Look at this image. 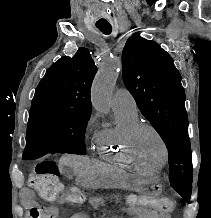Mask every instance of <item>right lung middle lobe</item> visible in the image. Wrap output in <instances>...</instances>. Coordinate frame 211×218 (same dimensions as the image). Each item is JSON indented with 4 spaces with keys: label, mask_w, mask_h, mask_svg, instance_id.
I'll return each mask as SVG.
<instances>
[{
    "label": "right lung middle lobe",
    "mask_w": 211,
    "mask_h": 218,
    "mask_svg": "<svg viewBox=\"0 0 211 218\" xmlns=\"http://www.w3.org/2000/svg\"><path fill=\"white\" fill-rule=\"evenodd\" d=\"M91 111L51 106H32L27 141L44 146L74 145L85 154L84 134Z\"/></svg>",
    "instance_id": "right-lung-middle-lobe-1"
}]
</instances>
